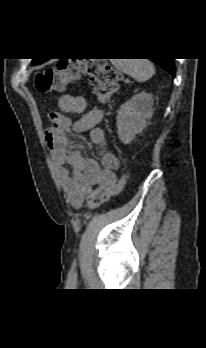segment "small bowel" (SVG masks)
<instances>
[{
	"mask_svg": "<svg viewBox=\"0 0 206 348\" xmlns=\"http://www.w3.org/2000/svg\"><path fill=\"white\" fill-rule=\"evenodd\" d=\"M58 107L61 112L49 115L44 139L50 148L57 176L66 191L69 203L74 208H79L94 185L116 183L120 162L113 153L103 151L99 164L87 160L78 150L69 146L66 131L70 127L75 133L88 131L92 144L101 148L105 145V134L98 127L103 118L100 109L87 111L86 99L72 94L62 95L58 100ZM66 113L83 115L72 124Z\"/></svg>",
	"mask_w": 206,
	"mask_h": 348,
	"instance_id": "c3829d8e",
	"label": "small bowel"
}]
</instances>
